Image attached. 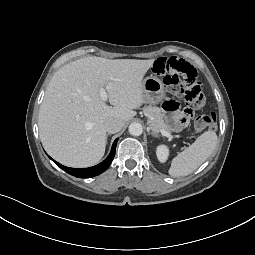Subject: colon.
<instances>
[{"instance_id":"5ec220e1","label":"colon","mask_w":255,"mask_h":255,"mask_svg":"<svg viewBox=\"0 0 255 255\" xmlns=\"http://www.w3.org/2000/svg\"><path fill=\"white\" fill-rule=\"evenodd\" d=\"M154 73L164 76V82L172 94L181 95L187 108L183 113L192 114L193 109L200 108L205 102L202 83L195 68L183 59L176 57L159 58L153 65ZM216 114L205 113L195 118L193 129L200 133L214 127Z\"/></svg>"}]
</instances>
